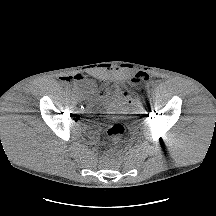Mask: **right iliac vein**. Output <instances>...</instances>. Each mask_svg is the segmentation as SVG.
I'll return each instance as SVG.
<instances>
[{"mask_svg":"<svg viewBox=\"0 0 216 216\" xmlns=\"http://www.w3.org/2000/svg\"><path fill=\"white\" fill-rule=\"evenodd\" d=\"M75 98H79L80 99V93H76L75 94Z\"/></svg>","mask_w":216,"mask_h":216,"instance_id":"right-iliac-vein-1","label":"right iliac vein"}]
</instances>
